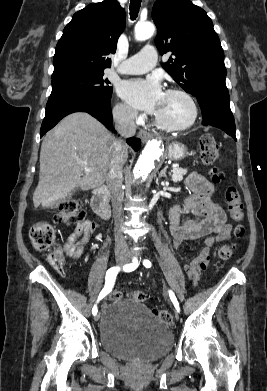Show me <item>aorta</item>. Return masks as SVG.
<instances>
[{"mask_svg":"<svg viewBox=\"0 0 267 391\" xmlns=\"http://www.w3.org/2000/svg\"><path fill=\"white\" fill-rule=\"evenodd\" d=\"M155 31V27L150 22L137 23L135 26V39L143 41L149 39ZM162 154L161 141L151 140L146 144L137 164L134 168V176L137 179L145 180L152 169L155 167L157 160Z\"/></svg>","mask_w":267,"mask_h":391,"instance_id":"aorta-1","label":"aorta"}]
</instances>
